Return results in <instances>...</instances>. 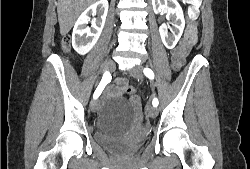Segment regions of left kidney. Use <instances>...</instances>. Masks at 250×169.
<instances>
[{
    "mask_svg": "<svg viewBox=\"0 0 250 169\" xmlns=\"http://www.w3.org/2000/svg\"><path fill=\"white\" fill-rule=\"evenodd\" d=\"M152 4L156 14L164 10V12H167L169 20H172V22H169V24L174 26L173 30H171L172 34H168L167 24H161L159 32L166 48H174L185 26L183 10L178 0H152Z\"/></svg>",
    "mask_w": 250,
    "mask_h": 169,
    "instance_id": "1",
    "label": "left kidney"
}]
</instances>
